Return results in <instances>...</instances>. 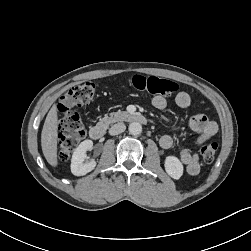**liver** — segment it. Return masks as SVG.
<instances>
[{
    "mask_svg": "<svg viewBox=\"0 0 251 251\" xmlns=\"http://www.w3.org/2000/svg\"><path fill=\"white\" fill-rule=\"evenodd\" d=\"M57 135H58L57 106L53 105L46 116L41 133L42 152L47 162L53 167H56L58 164Z\"/></svg>",
    "mask_w": 251,
    "mask_h": 251,
    "instance_id": "liver-1",
    "label": "liver"
}]
</instances>
